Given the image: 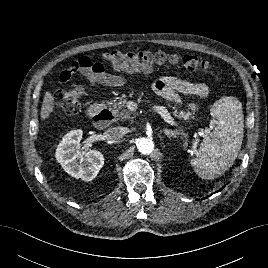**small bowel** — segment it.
<instances>
[{
    "label": "small bowel",
    "instance_id": "c3829d8e",
    "mask_svg": "<svg viewBox=\"0 0 268 268\" xmlns=\"http://www.w3.org/2000/svg\"><path fill=\"white\" fill-rule=\"evenodd\" d=\"M83 61L87 62L88 65L81 68L80 62ZM74 69L81 72L87 78L92 88H96L98 85L120 87L127 82L126 77L123 75L106 71L102 63L88 57H82L76 61L74 63ZM153 88L156 93L174 104L181 102V94L205 98L210 92L209 86L205 83L182 80L174 76H163L159 78L154 82ZM188 109L195 111L197 106L195 104H189Z\"/></svg>",
    "mask_w": 268,
    "mask_h": 268
}]
</instances>
